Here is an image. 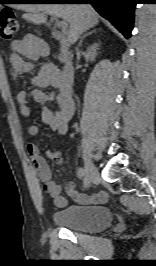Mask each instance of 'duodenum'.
Masks as SVG:
<instances>
[{"label":"duodenum","mask_w":156,"mask_h":266,"mask_svg":"<svg viewBox=\"0 0 156 266\" xmlns=\"http://www.w3.org/2000/svg\"><path fill=\"white\" fill-rule=\"evenodd\" d=\"M52 36L55 40L59 42L61 50L65 52L70 45L68 38L59 31H53ZM73 79H74L73 67L70 63H67L64 65V67L60 72V81L62 86L67 90H71L73 85Z\"/></svg>","instance_id":"obj_1"}]
</instances>
